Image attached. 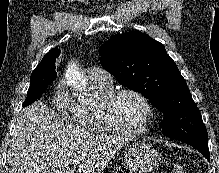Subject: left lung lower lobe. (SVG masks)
I'll return each instance as SVG.
<instances>
[{
	"mask_svg": "<svg viewBox=\"0 0 219 173\" xmlns=\"http://www.w3.org/2000/svg\"><path fill=\"white\" fill-rule=\"evenodd\" d=\"M182 142L195 147L200 153H202L207 158L208 161H210L208 144L197 142V141H182Z\"/></svg>",
	"mask_w": 219,
	"mask_h": 173,
	"instance_id": "1",
	"label": "left lung lower lobe"
}]
</instances>
